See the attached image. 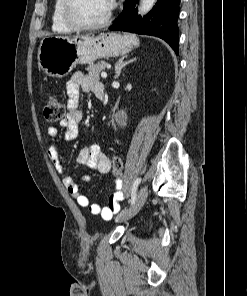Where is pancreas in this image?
I'll return each instance as SVG.
<instances>
[{
    "label": "pancreas",
    "instance_id": "1",
    "mask_svg": "<svg viewBox=\"0 0 247 296\" xmlns=\"http://www.w3.org/2000/svg\"><path fill=\"white\" fill-rule=\"evenodd\" d=\"M107 67V62L99 61L96 64L89 65L86 70L89 75L95 79H100V73Z\"/></svg>",
    "mask_w": 247,
    "mask_h": 296
}]
</instances>
